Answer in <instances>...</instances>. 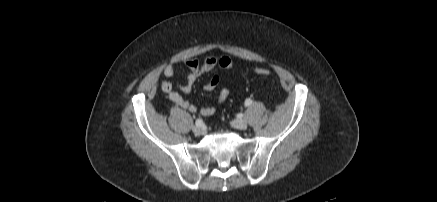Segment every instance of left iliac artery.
Instances as JSON below:
<instances>
[{
    "label": "left iliac artery",
    "mask_w": 437,
    "mask_h": 202,
    "mask_svg": "<svg viewBox=\"0 0 437 202\" xmlns=\"http://www.w3.org/2000/svg\"><path fill=\"white\" fill-rule=\"evenodd\" d=\"M252 104V100L250 98L245 100V106H250Z\"/></svg>",
    "instance_id": "44dca946"
}]
</instances>
